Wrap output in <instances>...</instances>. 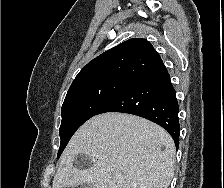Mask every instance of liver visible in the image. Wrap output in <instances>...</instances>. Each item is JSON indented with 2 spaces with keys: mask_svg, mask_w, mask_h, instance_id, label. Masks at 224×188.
I'll use <instances>...</instances> for the list:
<instances>
[{
  "mask_svg": "<svg viewBox=\"0 0 224 188\" xmlns=\"http://www.w3.org/2000/svg\"><path fill=\"white\" fill-rule=\"evenodd\" d=\"M164 148V149H163ZM84 153L92 167H78ZM175 170V144L159 125L130 114L92 117L73 135L53 179V188L90 183L92 188H168Z\"/></svg>",
  "mask_w": 224,
  "mask_h": 188,
  "instance_id": "1",
  "label": "liver"
}]
</instances>
